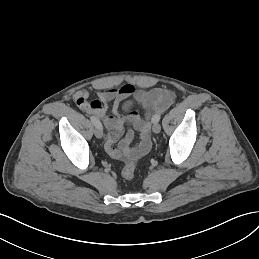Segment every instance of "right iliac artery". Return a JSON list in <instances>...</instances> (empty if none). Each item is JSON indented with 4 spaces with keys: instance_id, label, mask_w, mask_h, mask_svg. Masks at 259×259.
Instances as JSON below:
<instances>
[{
    "instance_id": "right-iliac-artery-1",
    "label": "right iliac artery",
    "mask_w": 259,
    "mask_h": 259,
    "mask_svg": "<svg viewBox=\"0 0 259 259\" xmlns=\"http://www.w3.org/2000/svg\"><path fill=\"white\" fill-rule=\"evenodd\" d=\"M91 122L95 125V127L102 128L101 122L94 116L90 117Z\"/></svg>"
}]
</instances>
